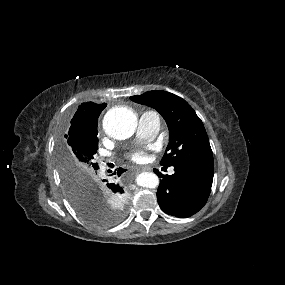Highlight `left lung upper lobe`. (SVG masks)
I'll use <instances>...</instances> for the list:
<instances>
[{
    "mask_svg": "<svg viewBox=\"0 0 285 285\" xmlns=\"http://www.w3.org/2000/svg\"><path fill=\"white\" fill-rule=\"evenodd\" d=\"M130 99L155 108L168 125L169 144L161 165L214 167L204 125L184 99L161 90L149 91Z\"/></svg>",
    "mask_w": 285,
    "mask_h": 285,
    "instance_id": "1",
    "label": "left lung upper lobe"
}]
</instances>
